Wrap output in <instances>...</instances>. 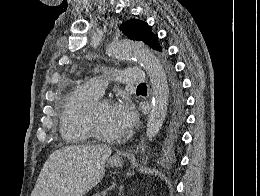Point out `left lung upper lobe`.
I'll list each match as a JSON object with an SVG mask.
<instances>
[{
  "mask_svg": "<svg viewBox=\"0 0 260 196\" xmlns=\"http://www.w3.org/2000/svg\"><path fill=\"white\" fill-rule=\"evenodd\" d=\"M120 29L129 39L142 41L160 52L164 59L167 76L166 112L162 128L154 144L161 150H172L180 140V131L184 123L185 99L180 80L175 75L173 65L166 58V48L160 45L157 35L150 30L146 22L130 19L123 23Z\"/></svg>",
  "mask_w": 260,
  "mask_h": 196,
  "instance_id": "5c2ea615",
  "label": "left lung upper lobe"
}]
</instances>
